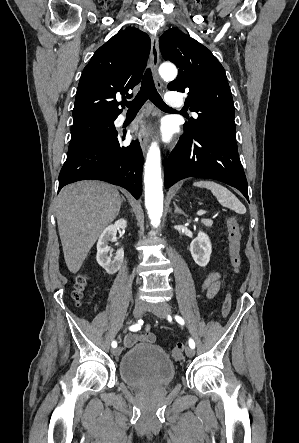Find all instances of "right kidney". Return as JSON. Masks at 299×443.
Returning <instances> with one entry per match:
<instances>
[{
	"label": "right kidney",
	"instance_id": "ca27d5eb",
	"mask_svg": "<svg viewBox=\"0 0 299 443\" xmlns=\"http://www.w3.org/2000/svg\"><path fill=\"white\" fill-rule=\"evenodd\" d=\"M126 227L127 221L125 219H119L113 225L105 228L98 239L96 259L98 264L102 266L108 274L116 273L120 269L124 259V250L121 248L112 260L108 255L110 251L108 243L116 239L118 229H125Z\"/></svg>",
	"mask_w": 299,
	"mask_h": 443
}]
</instances>
